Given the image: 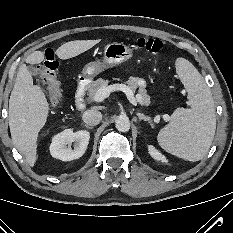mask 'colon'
Instances as JSON below:
<instances>
[{
    "instance_id": "5ec220e1",
    "label": "colon",
    "mask_w": 233,
    "mask_h": 233,
    "mask_svg": "<svg viewBox=\"0 0 233 233\" xmlns=\"http://www.w3.org/2000/svg\"><path fill=\"white\" fill-rule=\"evenodd\" d=\"M136 46L152 54H158L162 50L163 43L159 39L139 38L136 41ZM38 68L47 90L48 100L52 106L56 107L61 91L60 81L57 76L58 64L54 52L51 49L45 51L44 60Z\"/></svg>"
}]
</instances>
